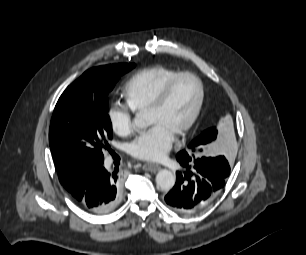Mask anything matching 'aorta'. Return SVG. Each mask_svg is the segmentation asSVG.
<instances>
[{
	"mask_svg": "<svg viewBox=\"0 0 306 255\" xmlns=\"http://www.w3.org/2000/svg\"><path fill=\"white\" fill-rule=\"evenodd\" d=\"M133 125L138 128H143L147 126V122L141 114H136ZM156 184L163 190H170L175 184V176L171 171L162 169L156 175Z\"/></svg>",
	"mask_w": 306,
	"mask_h": 255,
	"instance_id": "762f6f07",
	"label": "aorta"
}]
</instances>
